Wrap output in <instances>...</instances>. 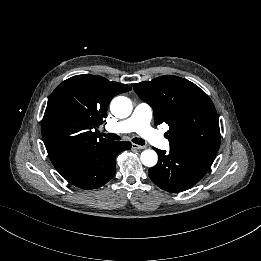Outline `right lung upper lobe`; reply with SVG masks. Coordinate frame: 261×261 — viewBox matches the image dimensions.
<instances>
[{"label":"right lung upper lobe","mask_w":261,"mask_h":261,"mask_svg":"<svg viewBox=\"0 0 261 261\" xmlns=\"http://www.w3.org/2000/svg\"><path fill=\"white\" fill-rule=\"evenodd\" d=\"M131 87L96 75H77L62 82L51 94L42 120V138L58 170L79 154L95 151L114 141L100 136L111 99Z\"/></svg>","instance_id":"obj_1"}]
</instances>
